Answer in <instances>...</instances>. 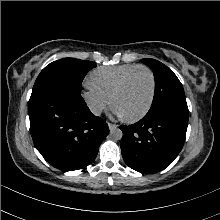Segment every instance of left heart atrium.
Wrapping results in <instances>:
<instances>
[{"mask_svg": "<svg viewBox=\"0 0 220 220\" xmlns=\"http://www.w3.org/2000/svg\"><path fill=\"white\" fill-rule=\"evenodd\" d=\"M114 114L118 117H123V115L121 114V112L117 108H114Z\"/></svg>", "mask_w": 220, "mask_h": 220, "instance_id": "obj_1", "label": "left heart atrium"}]
</instances>
